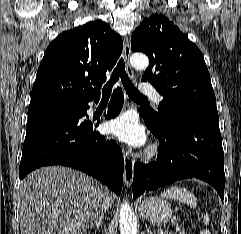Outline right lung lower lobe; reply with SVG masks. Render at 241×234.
<instances>
[{"instance_id": "obj_1", "label": "right lung lower lobe", "mask_w": 241, "mask_h": 234, "mask_svg": "<svg viewBox=\"0 0 241 234\" xmlns=\"http://www.w3.org/2000/svg\"><path fill=\"white\" fill-rule=\"evenodd\" d=\"M95 102L99 98L93 99ZM123 105L120 89L115 90L105 118L116 117ZM88 102L65 113L28 118L19 175L48 165L69 166L100 180L117 195L123 185L122 150L114 140L93 131L99 124L84 118Z\"/></svg>"}]
</instances>
